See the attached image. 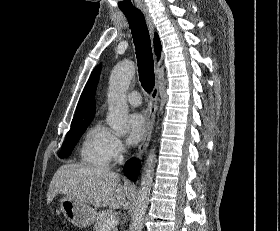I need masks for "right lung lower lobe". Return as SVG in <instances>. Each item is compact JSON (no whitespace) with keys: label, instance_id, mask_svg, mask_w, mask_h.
Instances as JSON below:
<instances>
[{"label":"right lung lower lobe","instance_id":"obj_1","mask_svg":"<svg viewBox=\"0 0 280 231\" xmlns=\"http://www.w3.org/2000/svg\"><path fill=\"white\" fill-rule=\"evenodd\" d=\"M139 165V162L136 159L129 160L124 167V172L127 175V177L133 181L136 179L137 175V166Z\"/></svg>","mask_w":280,"mask_h":231}]
</instances>
